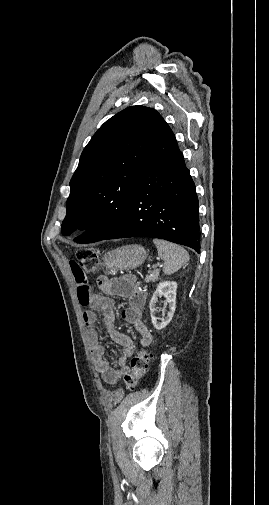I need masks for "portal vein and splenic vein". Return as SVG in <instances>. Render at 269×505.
<instances>
[{
    "mask_svg": "<svg viewBox=\"0 0 269 505\" xmlns=\"http://www.w3.org/2000/svg\"><path fill=\"white\" fill-rule=\"evenodd\" d=\"M162 266H163L162 264H159V263H158L157 265L153 266V268H156V267H162Z\"/></svg>",
    "mask_w": 269,
    "mask_h": 505,
    "instance_id": "obj_1",
    "label": "portal vein and splenic vein"
}]
</instances>
